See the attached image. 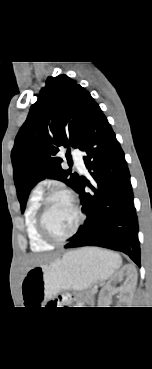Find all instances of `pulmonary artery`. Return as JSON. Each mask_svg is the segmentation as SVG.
<instances>
[{
	"label": "pulmonary artery",
	"mask_w": 152,
	"mask_h": 369,
	"mask_svg": "<svg viewBox=\"0 0 152 369\" xmlns=\"http://www.w3.org/2000/svg\"><path fill=\"white\" fill-rule=\"evenodd\" d=\"M72 155H73V159H74L76 167L80 171H85L86 168H85L84 160H83L81 153L78 151H73Z\"/></svg>",
	"instance_id": "1"
}]
</instances>
